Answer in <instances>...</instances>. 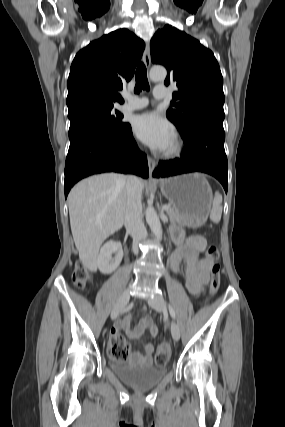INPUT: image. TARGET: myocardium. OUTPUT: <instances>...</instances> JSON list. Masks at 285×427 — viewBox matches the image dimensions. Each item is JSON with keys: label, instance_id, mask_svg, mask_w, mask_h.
Wrapping results in <instances>:
<instances>
[{"label": "myocardium", "instance_id": "f54148a6", "mask_svg": "<svg viewBox=\"0 0 285 427\" xmlns=\"http://www.w3.org/2000/svg\"><path fill=\"white\" fill-rule=\"evenodd\" d=\"M183 150V141L178 134L174 135L172 144L170 147L164 152V156L166 158H173L178 156Z\"/></svg>", "mask_w": 285, "mask_h": 427}]
</instances>
